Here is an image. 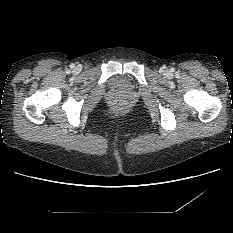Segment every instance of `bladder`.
<instances>
[{"instance_id":"obj_1","label":"bladder","mask_w":233,"mask_h":233,"mask_svg":"<svg viewBox=\"0 0 233 233\" xmlns=\"http://www.w3.org/2000/svg\"><path fill=\"white\" fill-rule=\"evenodd\" d=\"M110 84L114 90H127L130 88V79L125 75H117L111 79Z\"/></svg>"}]
</instances>
